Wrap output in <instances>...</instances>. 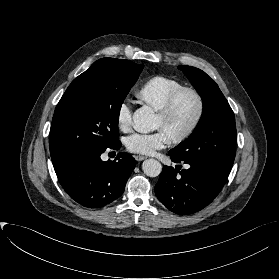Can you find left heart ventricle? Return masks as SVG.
<instances>
[{"instance_id": "b2bd125f", "label": "left heart ventricle", "mask_w": 279, "mask_h": 279, "mask_svg": "<svg viewBox=\"0 0 279 279\" xmlns=\"http://www.w3.org/2000/svg\"><path fill=\"white\" fill-rule=\"evenodd\" d=\"M197 111V102L190 94H183L177 100L171 115L156 118L155 129L161 130L171 138L182 133L192 122Z\"/></svg>"}]
</instances>
